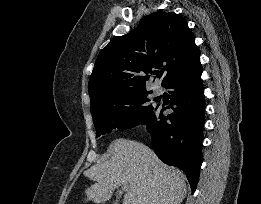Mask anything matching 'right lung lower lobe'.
<instances>
[{
  "instance_id": "right-lung-lower-lobe-1",
  "label": "right lung lower lobe",
  "mask_w": 261,
  "mask_h": 204,
  "mask_svg": "<svg viewBox=\"0 0 261 204\" xmlns=\"http://www.w3.org/2000/svg\"><path fill=\"white\" fill-rule=\"evenodd\" d=\"M202 66L198 59L189 68L163 86L171 89L168 106H157L140 123L152 137L156 155L166 164L182 169L196 190L202 164V128L204 124V94ZM171 108L168 116L163 111Z\"/></svg>"
}]
</instances>
